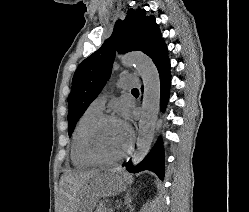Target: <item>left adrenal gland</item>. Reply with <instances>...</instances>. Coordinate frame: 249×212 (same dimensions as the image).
<instances>
[{
	"mask_svg": "<svg viewBox=\"0 0 249 212\" xmlns=\"http://www.w3.org/2000/svg\"><path fill=\"white\" fill-rule=\"evenodd\" d=\"M131 202H132V198H128L127 208H132Z\"/></svg>",
	"mask_w": 249,
	"mask_h": 212,
	"instance_id": "left-adrenal-gland-1",
	"label": "left adrenal gland"
}]
</instances>
